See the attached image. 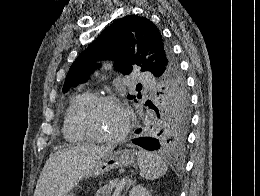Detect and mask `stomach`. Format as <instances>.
Listing matches in <instances>:
<instances>
[{
    "instance_id": "stomach-1",
    "label": "stomach",
    "mask_w": 260,
    "mask_h": 196,
    "mask_svg": "<svg viewBox=\"0 0 260 196\" xmlns=\"http://www.w3.org/2000/svg\"><path fill=\"white\" fill-rule=\"evenodd\" d=\"M137 156L138 154L135 152V150H128V148L110 150V152L105 154L103 158L97 160L96 166H94L93 170H90L86 178H97V176H102V174H105V172H110V170H115V168L134 166V164L137 162ZM78 184H75L74 188H77ZM67 194L68 196H74L73 190H70V192H67Z\"/></svg>"
}]
</instances>
